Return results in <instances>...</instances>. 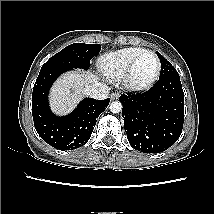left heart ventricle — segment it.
Here are the masks:
<instances>
[{
	"label": "left heart ventricle",
	"mask_w": 214,
	"mask_h": 214,
	"mask_svg": "<svg viewBox=\"0 0 214 214\" xmlns=\"http://www.w3.org/2000/svg\"><path fill=\"white\" fill-rule=\"evenodd\" d=\"M156 59L153 55H144L134 70V79L137 82L148 80L156 70Z\"/></svg>",
	"instance_id": "left-heart-ventricle-1"
}]
</instances>
